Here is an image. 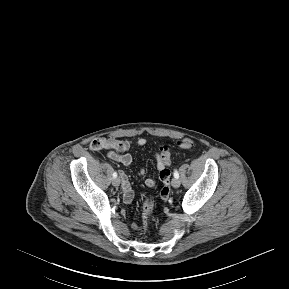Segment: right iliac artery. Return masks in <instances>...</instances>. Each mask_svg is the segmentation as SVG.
Wrapping results in <instances>:
<instances>
[{"instance_id": "right-iliac-artery-1", "label": "right iliac artery", "mask_w": 289, "mask_h": 289, "mask_svg": "<svg viewBox=\"0 0 289 289\" xmlns=\"http://www.w3.org/2000/svg\"><path fill=\"white\" fill-rule=\"evenodd\" d=\"M117 177V172H114L113 173V178H116Z\"/></svg>"}]
</instances>
